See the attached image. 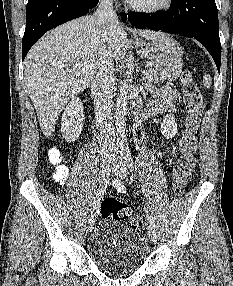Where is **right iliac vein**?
Segmentation results:
<instances>
[{
    "label": "right iliac vein",
    "instance_id": "obj_1",
    "mask_svg": "<svg viewBox=\"0 0 233 286\" xmlns=\"http://www.w3.org/2000/svg\"><path fill=\"white\" fill-rule=\"evenodd\" d=\"M111 168H112V162L110 158H106L102 161L101 163V174L102 176H105L107 174H109L111 172ZM95 224V217L92 216L89 218L87 226H86V231L87 232H91V230L93 229V226Z\"/></svg>",
    "mask_w": 233,
    "mask_h": 286
}]
</instances>
